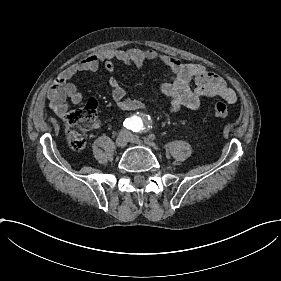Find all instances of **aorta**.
Segmentation results:
<instances>
[{"label": "aorta", "mask_w": 281, "mask_h": 281, "mask_svg": "<svg viewBox=\"0 0 281 281\" xmlns=\"http://www.w3.org/2000/svg\"><path fill=\"white\" fill-rule=\"evenodd\" d=\"M148 116V117H147ZM144 120H150V116L149 115H143V116H135L132 120L133 124H137V125H143V121Z\"/></svg>", "instance_id": "aorta-1"}]
</instances>
